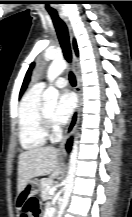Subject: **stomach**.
I'll use <instances>...</instances> for the list:
<instances>
[{"label":"stomach","instance_id":"obj_1","mask_svg":"<svg viewBox=\"0 0 132 217\" xmlns=\"http://www.w3.org/2000/svg\"><path fill=\"white\" fill-rule=\"evenodd\" d=\"M25 189L28 190V196H33L37 194L40 190V182L37 180L29 181ZM24 189V190H25Z\"/></svg>","mask_w":132,"mask_h":217}]
</instances>
